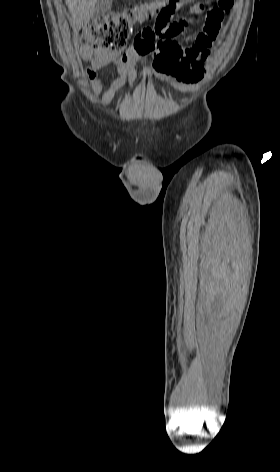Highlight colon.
Returning a JSON list of instances; mask_svg holds the SVG:
<instances>
[{"label": "colon", "instance_id": "colon-1", "mask_svg": "<svg viewBox=\"0 0 280 472\" xmlns=\"http://www.w3.org/2000/svg\"><path fill=\"white\" fill-rule=\"evenodd\" d=\"M182 4L183 0H152L139 8L94 18L85 24L78 41L84 46L103 50L115 57L124 51L135 22L152 18L160 23L168 22ZM232 5L233 0H218L215 6L209 8L206 23H221L224 13Z\"/></svg>", "mask_w": 280, "mask_h": 472}]
</instances>
